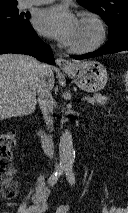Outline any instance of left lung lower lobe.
<instances>
[{"label": "left lung lower lobe", "mask_w": 128, "mask_h": 213, "mask_svg": "<svg viewBox=\"0 0 128 213\" xmlns=\"http://www.w3.org/2000/svg\"><path fill=\"white\" fill-rule=\"evenodd\" d=\"M109 41L100 49L79 56H71L73 59H87L103 54L116 53L128 50V27H125L113 35H109Z\"/></svg>", "instance_id": "1"}]
</instances>
